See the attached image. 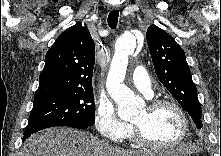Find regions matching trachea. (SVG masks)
Wrapping results in <instances>:
<instances>
[{"label":"trachea","instance_id":"3493384b","mask_svg":"<svg viewBox=\"0 0 221 156\" xmlns=\"http://www.w3.org/2000/svg\"><path fill=\"white\" fill-rule=\"evenodd\" d=\"M119 11L113 10L108 15V25L111 29H115L118 23Z\"/></svg>","mask_w":221,"mask_h":156}]
</instances>
